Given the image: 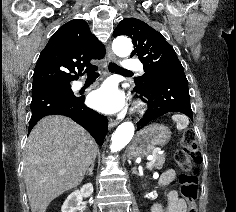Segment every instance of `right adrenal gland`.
<instances>
[{
	"mask_svg": "<svg viewBox=\"0 0 236 212\" xmlns=\"http://www.w3.org/2000/svg\"><path fill=\"white\" fill-rule=\"evenodd\" d=\"M93 168H94V161L91 163V166L86 171V175L92 176L93 174Z\"/></svg>",
	"mask_w": 236,
	"mask_h": 212,
	"instance_id": "right-adrenal-gland-1",
	"label": "right adrenal gland"
}]
</instances>
